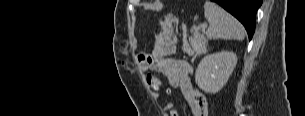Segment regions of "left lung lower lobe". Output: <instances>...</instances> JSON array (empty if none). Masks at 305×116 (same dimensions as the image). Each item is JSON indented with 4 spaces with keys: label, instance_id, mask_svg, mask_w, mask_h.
Segmentation results:
<instances>
[{
    "label": "left lung lower lobe",
    "instance_id": "0a47b994",
    "mask_svg": "<svg viewBox=\"0 0 305 116\" xmlns=\"http://www.w3.org/2000/svg\"><path fill=\"white\" fill-rule=\"evenodd\" d=\"M235 16L246 28L251 40L256 22V12L262 0H213Z\"/></svg>",
    "mask_w": 305,
    "mask_h": 116
}]
</instances>
